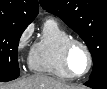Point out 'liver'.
<instances>
[{
  "mask_svg": "<svg viewBox=\"0 0 107 89\" xmlns=\"http://www.w3.org/2000/svg\"><path fill=\"white\" fill-rule=\"evenodd\" d=\"M0 89H76V87L46 75H34L13 83L2 84Z\"/></svg>",
  "mask_w": 107,
  "mask_h": 89,
  "instance_id": "liver-1",
  "label": "liver"
}]
</instances>
